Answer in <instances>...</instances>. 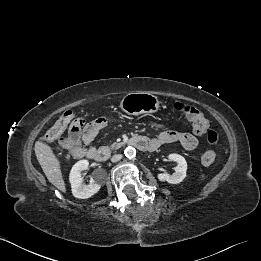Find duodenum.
<instances>
[{"label":"duodenum","mask_w":261,"mask_h":261,"mask_svg":"<svg viewBox=\"0 0 261 261\" xmlns=\"http://www.w3.org/2000/svg\"><path fill=\"white\" fill-rule=\"evenodd\" d=\"M129 143L133 144L136 148L141 151H153L157 146L149 139L142 136H135L129 140ZM111 150L109 148H103L95 151H88L86 156L98 162H104L109 159Z\"/></svg>","instance_id":"duodenum-1"}]
</instances>
